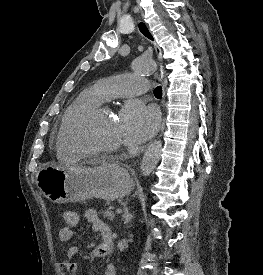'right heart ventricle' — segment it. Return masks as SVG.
<instances>
[{
	"label": "right heart ventricle",
	"mask_w": 263,
	"mask_h": 275,
	"mask_svg": "<svg viewBox=\"0 0 263 275\" xmlns=\"http://www.w3.org/2000/svg\"><path fill=\"white\" fill-rule=\"evenodd\" d=\"M104 101L98 86L84 90L67 108L61 123L58 137V152L61 156L78 159L82 154L76 150L67 139V133L74 122L87 110L100 105Z\"/></svg>",
	"instance_id": "1"
}]
</instances>
